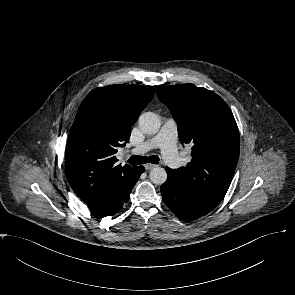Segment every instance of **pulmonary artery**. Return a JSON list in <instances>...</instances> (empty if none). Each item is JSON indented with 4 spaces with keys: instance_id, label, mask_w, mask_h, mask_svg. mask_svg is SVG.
<instances>
[{
    "instance_id": "pulmonary-artery-1",
    "label": "pulmonary artery",
    "mask_w": 295,
    "mask_h": 295,
    "mask_svg": "<svg viewBox=\"0 0 295 295\" xmlns=\"http://www.w3.org/2000/svg\"><path fill=\"white\" fill-rule=\"evenodd\" d=\"M178 127L173 119L164 122L159 132L150 140L136 146L132 152L144 154L152 149H160L164 160L171 168H178L182 160L177 152Z\"/></svg>"
}]
</instances>
